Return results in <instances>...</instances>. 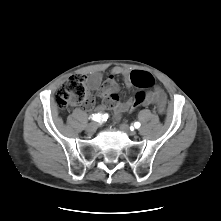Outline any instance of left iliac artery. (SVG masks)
I'll use <instances>...</instances> for the list:
<instances>
[{"label":"left iliac artery","instance_id":"1","mask_svg":"<svg viewBox=\"0 0 221 221\" xmlns=\"http://www.w3.org/2000/svg\"><path fill=\"white\" fill-rule=\"evenodd\" d=\"M140 125H141V124H140L139 122H135V123H134V127L137 128V129L140 127Z\"/></svg>","mask_w":221,"mask_h":221}]
</instances>
